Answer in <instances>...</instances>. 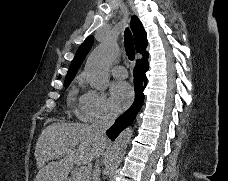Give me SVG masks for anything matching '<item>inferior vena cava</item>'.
<instances>
[{
    "instance_id": "obj_1",
    "label": "inferior vena cava",
    "mask_w": 228,
    "mask_h": 181,
    "mask_svg": "<svg viewBox=\"0 0 228 181\" xmlns=\"http://www.w3.org/2000/svg\"><path fill=\"white\" fill-rule=\"evenodd\" d=\"M117 115L115 113H112V111H103L100 115L99 121H96V123H93L92 129L94 133H98L102 139L105 137V133L107 129H110L112 127L113 123H115ZM98 159V157H96ZM98 163V161H97ZM100 175V165H95V171L93 173V181H100L99 179Z\"/></svg>"
}]
</instances>
